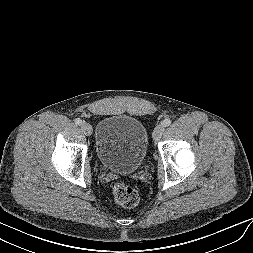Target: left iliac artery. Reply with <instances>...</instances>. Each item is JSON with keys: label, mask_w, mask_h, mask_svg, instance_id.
Returning a JSON list of instances; mask_svg holds the SVG:
<instances>
[{"label": "left iliac artery", "mask_w": 253, "mask_h": 253, "mask_svg": "<svg viewBox=\"0 0 253 253\" xmlns=\"http://www.w3.org/2000/svg\"><path fill=\"white\" fill-rule=\"evenodd\" d=\"M170 124H171V120L170 119H165L162 122V125L165 126V127L169 126Z\"/></svg>", "instance_id": "left-iliac-artery-1"}]
</instances>
